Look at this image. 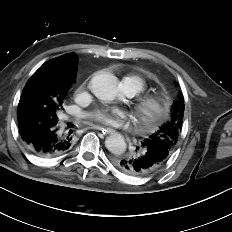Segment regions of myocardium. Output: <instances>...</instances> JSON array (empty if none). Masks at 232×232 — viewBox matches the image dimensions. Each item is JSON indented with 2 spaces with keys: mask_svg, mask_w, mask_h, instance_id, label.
<instances>
[{
  "mask_svg": "<svg viewBox=\"0 0 232 232\" xmlns=\"http://www.w3.org/2000/svg\"><path fill=\"white\" fill-rule=\"evenodd\" d=\"M135 114L143 127H152L161 122L166 114L167 102L158 94H146L134 104Z\"/></svg>",
  "mask_w": 232,
  "mask_h": 232,
  "instance_id": "f54148a6",
  "label": "myocardium"
}]
</instances>
